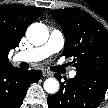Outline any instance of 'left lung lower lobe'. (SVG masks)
Wrapping results in <instances>:
<instances>
[{
    "instance_id": "1",
    "label": "left lung lower lobe",
    "mask_w": 108,
    "mask_h": 108,
    "mask_svg": "<svg viewBox=\"0 0 108 108\" xmlns=\"http://www.w3.org/2000/svg\"><path fill=\"white\" fill-rule=\"evenodd\" d=\"M60 83V90L48 97L49 108H97L108 89V71L77 73Z\"/></svg>"
}]
</instances>
